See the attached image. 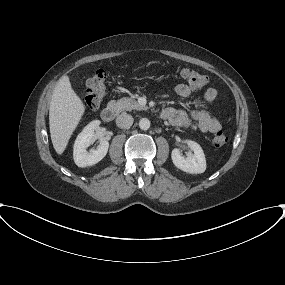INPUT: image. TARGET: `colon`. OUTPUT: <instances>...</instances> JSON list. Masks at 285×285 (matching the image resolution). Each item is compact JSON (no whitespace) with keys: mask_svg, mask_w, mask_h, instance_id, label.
Wrapping results in <instances>:
<instances>
[{"mask_svg":"<svg viewBox=\"0 0 285 285\" xmlns=\"http://www.w3.org/2000/svg\"><path fill=\"white\" fill-rule=\"evenodd\" d=\"M177 74L193 88H202L209 83L208 76L192 71L188 68H178ZM108 73L104 69H98L93 72L86 82V88L83 93L85 103L92 109L100 106L106 92V79ZM228 141L227 136L219 131L213 138L215 147H222Z\"/></svg>","mask_w":285,"mask_h":285,"instance_id":"1","label":"colon"}]
</instances>
